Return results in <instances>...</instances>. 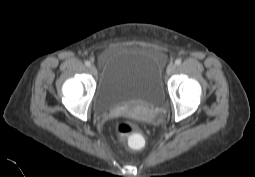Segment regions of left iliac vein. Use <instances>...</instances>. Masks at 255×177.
I'll use <instances>...</instances> for the list:
<instances>
[{
    "label": "left iliac vein",
    "instance_id": "left-iliac-vein-1",
    "mask_svg": "<svg viewBox=\"0 0 255 177\" xmlns=\"http://www.w3.org/2000/svg\"><path fill=\"white\" fill-rule=\"evenodd\" d=\"M175 69H176V65L175 64L168 65L167 70H166L167 75L173 74Z\"/></svg>",
    "mask_w": 255,
    "mask_h": 177
}]
</instances>
